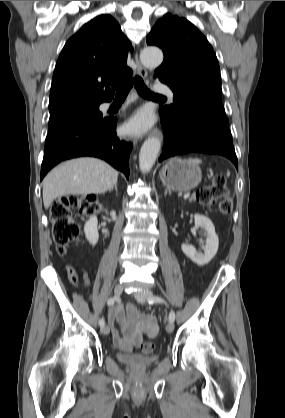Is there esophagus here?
Listing matches in <instances>:
<instances>
[{"mask_svg": "<svg viewBox=\"0 0 285 418\" xmlns=\"http://www.w3.org/2000/svg\"><path fill=\"white\" fill-rule=\"evenodd\" d=\"M135 64L136 70L140 77L145 79L148 75L146 68L141 64L138 55H135ZM150 135L157 136L158 138L162 139V132L159 129H154L150 132Z\"/></svg>", "mask_w": 285, "mask_h": 418, "instance_id": "esophagus-1", "label": "esophagus"}]
</instances>
